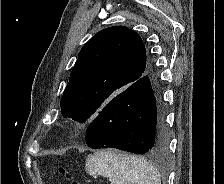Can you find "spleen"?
I'll return each instance as SVG.
<instances>
[{
  "label": "spleen",
  "mask_w": 224,
  "mask_h": 184,
  "mask_svg": "<svg viewBox=\"0 0 224 184\" xmlns=\"http://www.w3.org/2000/svg\"><path fill=\"white\" fill-rule=\"evenodd\" d=\"M89 175L112 179L113 184H161L158 170L148 161L119 151H96L88 155Z\"/></svg>",
  "instance_id": "obj_1"
}]
</instances>
